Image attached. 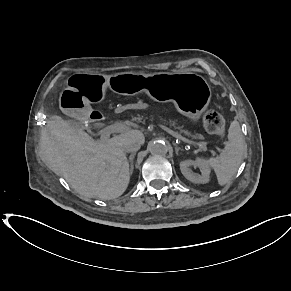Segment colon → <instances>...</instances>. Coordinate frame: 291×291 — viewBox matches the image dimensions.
Listing matches in <instances>:
<instances>
[{
  "label": "colon",
  "mask_w": 291,
  "mask_h": 291,
  "mask_svg": "<svg viewBox=\"0 0 291 291\" xmlns=\"http://www.w3.org/2000/svg\"><path fill=\"white\" fill-rule=\"evenodd\" d=\"M206 130L212 134L220 135L224 131L225 120L223 115L216 109L207 112L203 120Z\"/></svg>",
  "instance_id": "obj_1"
}]
</instances>
